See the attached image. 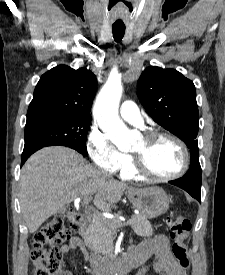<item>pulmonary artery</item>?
I'll use <instances>...</instances> for the list:
<instances>
[{
    "instance_id": "pulmonary-artery-1",
    "label": "pulmonary artery",
    "mask_w": 225,
    "mask_h": 275,
    "mask_svg": "<svg viewBox=\"0 0 225 275\" xmlns=\"http://www.w3.org/2000/svg\"><path fill=\"white\" fill-rule=\"evenodd\" d=\"M121 117L132 123L134 125L141 126L143 125V119L141 113L136 105V103L132 100L124 101L119 109Z\"/></svg>"
}]
</instances>
